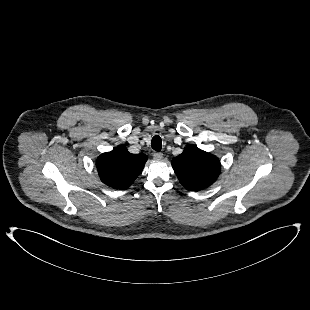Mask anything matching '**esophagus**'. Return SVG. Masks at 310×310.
Segmentation results:
<instances>
[{"label": "esophagus", "instance_id": "34e87169", "mask_svg": "<svg viewBox=\"0 0 310 310\" xmlns=\"http://www.w3.org/2000/svg\"><path fill=\"white\" fill-rule=\"evenodd\" d=\"M153 158L156 160H161L163 158V154L161 152L153 153Z\"/></svg>", "mask_w": 310, "mask_h": 310}]
</instances>
